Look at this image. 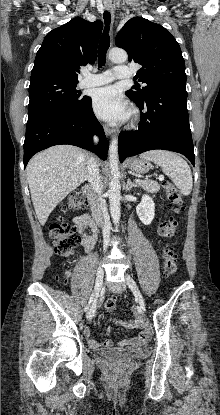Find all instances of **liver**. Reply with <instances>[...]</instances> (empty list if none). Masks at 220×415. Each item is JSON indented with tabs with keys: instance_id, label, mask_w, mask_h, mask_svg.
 I'll return each instance as SVG.
<instances>
[{
	"instance_id": "6515ba94",
	"label": "liver",
	"mask_w": 220,
	"mask_h": 415,
	"mask_svg": "<svg viewBox=\"0 0 220 415\" xmlns=\"http://www.w3.org/2000/svg\"><path fill=\"white\" fill-rule=\"evenodd\" d=\"M89 159V154L78 147L56 145L29 161L27 179L41 225L68 194L88 179Z\"/></svg>"
}]
</instances>
